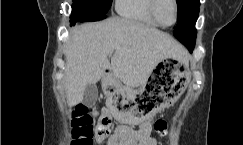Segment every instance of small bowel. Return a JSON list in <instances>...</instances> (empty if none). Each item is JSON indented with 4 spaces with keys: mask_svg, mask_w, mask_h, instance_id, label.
Masks as SVG:
<instances>
[{
    "mask_svg": "<svg viewBox=\"0 0 243 145\" xmlns=\"http://www.w3.org/2000/svg\"><path fill=\"white\" fill-rule=\"evenodd\" d=\"M98 118L108 116V111L102 109L95 113ZM100 145H157V141L151 135V125L143 122L138 129H131L127 126H118L106 138H96Z\"/></svg>",
    "mask_w": 243,
    "mask_h": 145,
    "instance_id": "small-bowel-1",
    "label": "small bowel"
}]
</instances>
